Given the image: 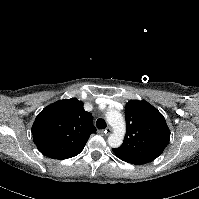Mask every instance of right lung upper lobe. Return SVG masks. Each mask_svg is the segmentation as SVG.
Returning a JSON list of instances; mask_svg holds the SVG:
<instances>
[{
  "instance_id": "1",
  "label": "right lung upper lobe",
  "mask_w": 199,
  "mask_h": 199,
  "mask_svg": "<svg viewBox=\"0 0 199 199\" xmlns=\"http://www.w3.org/2000/svg\"><path fill=\"white\" fill-rule=\"evenodd\" d=\"M95 131L92 115L76 98L45 107L32 126L37 148L43 155L54 159H68L79 154Z\"/></svg>"
}]
</instances>
